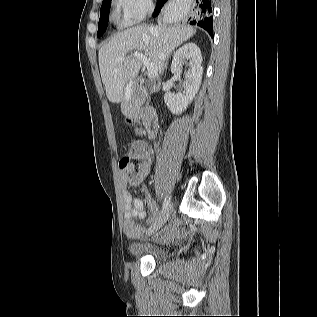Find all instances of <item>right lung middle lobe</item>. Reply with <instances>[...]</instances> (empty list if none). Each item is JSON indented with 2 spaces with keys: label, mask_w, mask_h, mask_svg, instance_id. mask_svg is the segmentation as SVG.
Instances as JSON below:
<instances>
[{
  "label": "right lung middle lobe",
  "mask_w": 317,
  "mask_h": 317,
  "mask_svg": "<svg viewBox=\"0 0 317 317\" xmlns=\"http://www.w3.org/2000/svg\"><path fill=\"white\" fill-rule=\"evenodd\" d=\"M111 6V0H103L101 10H100V20L97 36H101L107 27L108 19H109V10Z\"/></svg>",
  "instance_id": "dd1d6c3e"
}]
</instances>
